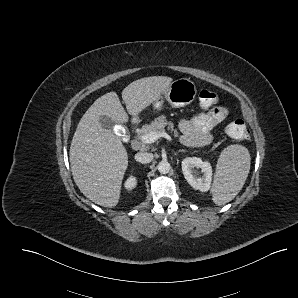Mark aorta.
Wrapping results in <instances>:
<instances>
[{
    "mask_svg": "<svg viewBox=\"0 0 298 298\" xmlns=\"http://www.w3.org/2000/svg\"><path fill=\"white\" fill-rule=\"evenodd\" d=\"M171 168V164L168 160H161L157 165V169L161 174H168Z\"/></svg>",
    "mask_w": 298,
    "mask_h": 298,
    "instance_id": "aorta-1",
    "label": "aorta"
}]
</instances>
